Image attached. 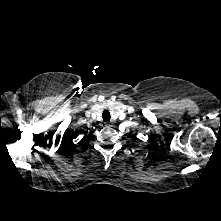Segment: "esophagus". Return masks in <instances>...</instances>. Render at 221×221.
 Returning a JSON list of instances; mask_svg holds the SVG:
<instances>
[{"label":"esophagus","mask_w":221,"mask_h":221,"mask_svg":"<svg viewBox=\"0 0 221 221\" xmlns=\"http://www.w3.org/2000/svg\"><path fill=\"white\" fill-rule=\"evenodd\" d=\"M105 126H106V127H112V124L109 123V122H106V123H105Z\"/></svg>","instance_id":"34e87169"}]
</instances>
